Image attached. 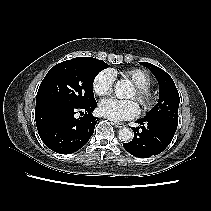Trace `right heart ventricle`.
I'll use <instances>...</instances> for the list:
<instances>
[{
	"instance_id": "obj_1",
	"label": "right heart ventricle",
	"mask_w": 211,
	"mask_h": 211,
	"mask_svg": "<svg viewBox=\"0 0 211 211\" xmlns=\"http://www.w3.org/2000/svg\"><path fill=\"white\" fill-rule=\"evenodd\" d=\"M111 71L115 76L116 71L114 70H111ZM121 75L124 78L131 80L133 84L138 87H150V85L152 84V78L150 74L144 69H140V68L128 69V70L123 71Z\"/></svg>"
}]
</instances>
